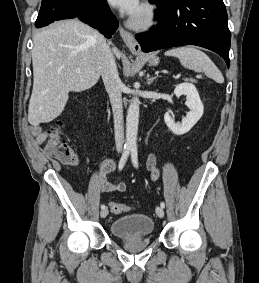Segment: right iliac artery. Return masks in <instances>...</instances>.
<instances>
[{"label": "right iliac artery", "instance_id": "1", "mask_svg": "<svg viewBox=\"0 0 259 283\" xmlns=\"http://www.w3.org/2000/svg\"><path fill=\"white\" fill-rule=\"evenodd\" d=\"M130 150H131V148L129 146H125L124 147L123 154H122V157H121V159L119 161V165H118L119 170L123 169V167H124V165L126 163V160H127L128 156H129ZM105 207L106 206L104 204L101 205V209H104Z\"/></svg>", "mask_w": 259, "mask_h": 283}]
</instances>
